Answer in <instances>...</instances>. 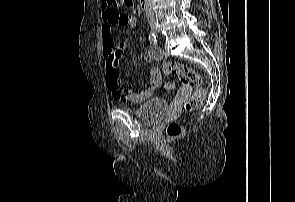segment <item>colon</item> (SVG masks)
I'll list each match as a JSON object with an SVG mask.
<instances>
[{
	"label": "colon",
	"mask_w": 295,
	"mask_h": 202,
	"mask_svg": "<svg viewBox=\"0 0 295 202\" xmlns=\"http://www.w3.org/2000/svg\"><path fill=\"white\" fill-rule=\"evenodd\" d=\"M110 6L115 4H122L125 6H131L133 0H107ZM129 22L127 15H122L120 18V24L126 25ZM162 71L165 74L176 75L184 85H189L193 89V94L188 101L186 108L188 110L195 109L203 102L206 91L203 87L202 77L192 68L182 65L175 61L164 62L161 66ZM173 83L166 84V89H173ZM166 133L170 138H178L183 135V127L177 122H171L166 129Z\"/></svg>",
	"instance_id": "5ec220e1"
}]
</instances>
